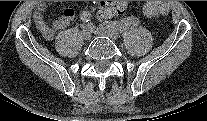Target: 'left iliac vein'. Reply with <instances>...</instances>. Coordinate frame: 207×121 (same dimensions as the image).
<instances>
[{
    "instance_id": "1",
    "label": "left iliac vein",
    "mask_w": 207,
    "mask_h": 121,
    "mask_svg": "<svg viewBox=\"0 0 207 121\" xmlns=\"http://www.w3.org/2000/svg\"><path fill=\"white\" fill-rule=\"evenodd\" d=\"M90 28L92 32L96 35L108 37L113 41L118 38V32L113 28L107 27L106 25L100 27H95L91 25Z\"/></svg>"
}]
</instances>
